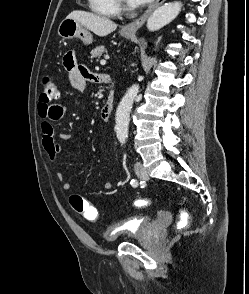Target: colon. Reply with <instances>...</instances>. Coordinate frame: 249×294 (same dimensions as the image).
Here are the masks:
<instances>
[{
    "label": "colon",
    "mask_w": 249,
    "mask_h": 294,
    "mask_svg": "<svg viewBox=\"0 0 249 294\" xmlns=\"http://www.w3.org/2000/svg\"><path fill=\"white\" fill-rule=\"evenodd\" d=\"M59 97V88L51 77H44L42 80V92L40 100L44 103L51 102ZM70 204L74 211L88 221L95 222L99 218L97 209L85 198L79 195L70 197ZM152 204L149 199H138L134 202L136 207H146ZM183 223H177V228H182Z\"/></svg>",
    "instance_id": "obj_1"
}]
</instances>
